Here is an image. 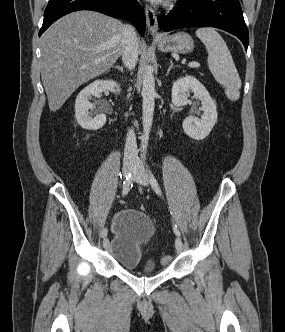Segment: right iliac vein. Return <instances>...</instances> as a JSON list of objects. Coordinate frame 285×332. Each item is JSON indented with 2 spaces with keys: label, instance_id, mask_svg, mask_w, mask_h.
Masks as SVG:
<instances>
[{
  "label": "right iliac vein",
  "instance_id": "obj_1",
  "mask_svg": "<svg viewBox=\"0 0 285 332\" xmlns=\"http://www.w3.org/2000/svg\"><path fill=\"white\" fill-rule=\"evenodd\" d=\"M133 170H134V166L132 164H126V165H124L123 169H122L123 176L124 177L127 176ZM103 246H104L105 249H107L109 247V239L107 237H105L103 239Z\"/></svg>",
  "mask_w": 285,
  "mask_h": 332
}]
</instances>
